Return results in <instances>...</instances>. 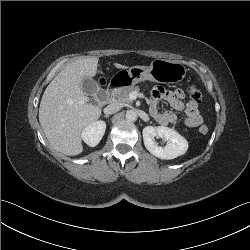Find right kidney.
Here are the masks:
<instances>
[{"label":"right kidney","mask_w":250,"mask_h":250,"mask_svg":"<svg viewBox=\"0 0 250 250\" xmlns=\"http://www.w3.org/2000/svg\"><path fill=\"white\" fill-rule=\"evenodd\" d=\"M106 130V123L104 121H95L84 128L81 133V138L90 147L99 144Z\"/></svg>","instance_id":"obj_1"}]
</instances>
